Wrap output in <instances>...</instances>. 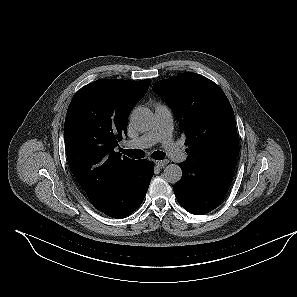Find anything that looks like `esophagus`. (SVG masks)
Instances as JSON below:
<instances>
[{
  "instance_id": "1",
  "label": "esophagus",
  "mask_w": 297,
  "mask_h": 297,
  "mask_svg": "<svg viewBox=\"0 0 297 297\" xmlns=\"http://www.w3.org/2000/svg\"><path fill=\"white\" fill-rule=\"evenodd\" d=\"M154 163L158 167H164L169 163V160L165 159V160H161V161H155Z\"/></svg>"
}]
</instances>
